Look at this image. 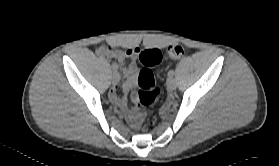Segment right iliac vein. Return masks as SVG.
Returning a JSON list of instances; mask_svg holds the SVG:
<instances>
[{"instance_id":"obj_1","label":"right iliac vein","mask_w":279,"mask_h":166,"mask_svg":"<svg viewBox=\"0 0 279 166\" xmlns=\"http://www.w3.org/2000/svg\"><path fill=\"white\" fill-rule=\"evenodd\" d=\"M120 80V75L118 72H114L112 75V82L113 84H117Z\"/></svg>"}]
</instances>
